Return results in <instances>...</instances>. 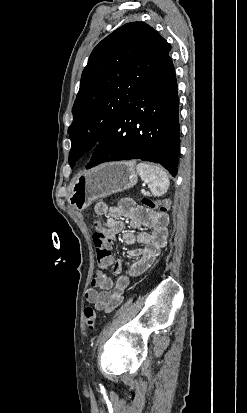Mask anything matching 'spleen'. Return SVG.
I'll list each match as a JSON object with an SVG mask.
<instances>
[{
    "label": "spleen",
    "mask_w": 247,
    "mask_h": 413,
    "mask_svg": "<svg viewBox=\"0 0 247 413\" xmlns=\"http://www.w3.org/2000/svg\"><path fill=\"white\" fill-rule=\"evenodd\" d=\"M141 164L142 162H139L136 168H138L139 174L144 182H149L150 180L149 184L151 186L152 194H154V196H161V194H164L169 186V178L165 170L159 168V166H155V168H152L149 178H147L145 172H143L141 168Z\"/></svg>",
    "instance_id": "spleen-1"
}]
</instances>
